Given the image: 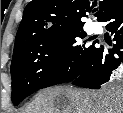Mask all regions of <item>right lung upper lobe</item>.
I'll return each mask as SVG.
<instances>
[{"label": "right lung upper lobe", "instance_id": "obj_1", "mask_svg": "<svg viewBox=\"0 0 123 113\" xmlns=\"http://www.w3.org/2000/svg\"><path fill=\"white\" fill-rule=\"evenodd\" d=\"M120 0H32L25 7L15 45L19 46L42 37L56 35L72 29L83 28L82 17L95 11L101 21L108 10Z\"/></svg>", "mask_w": 123, "mask_h": 113}]
</instances>
